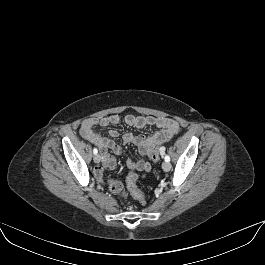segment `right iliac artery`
I'll return each mask as SVG.
<instances>
[{
	"label": "right iliac artery",
	"instance_id": "obj_1",
	"mask_svg": "<svg viewBox=\"0 0 265 265\" xmlns=\"http://www.w3.org/2000/svg\"><path fill=\"white\" fill-rule=\"evenodd\" d=\"M93 153H94L95 155L98 153L97 148H94V149H93Z\"/></svg>",
	"mask_w": 265,
	"mask_h": 265
}]
</instances>
